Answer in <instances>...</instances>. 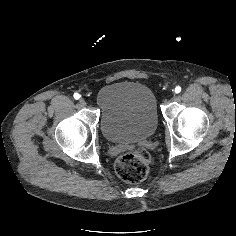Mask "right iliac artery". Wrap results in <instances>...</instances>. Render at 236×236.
<instances>
[{
	"mask_svg": "<svg viewBox=\"0 0 236 236\" xmlns=\"http://www.w3.org/2000/svg\"><path fill=\"white\" fill-rule=\"evenodd\" d=\"M74 98L76 99V100H78L79 98H80V94H78V93H74Z\"/></svg>",
	"mask_w": 236,
	"mask_h": 236,
	"instance_id": "right-iliac-artery-1",
	"label": "right iliac artery"
}]
</instances>
